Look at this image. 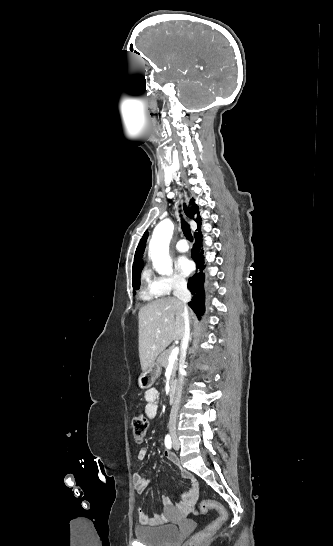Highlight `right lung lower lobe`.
<instances>
[{
	"instance_id": "obj_1",
	"label": "right lung lower lobe",
	"mask_w": 333,
	"mask_h": 546,
	"mask_svg": "<svg viewBox=\"0 0 333 546\" xmlns=\"http://www.w3.org/2000/svg\"><path fill=\"white\" fill-rule=\"evenodd\" d=\"M195 241L194 247L192 249V259L196 262V266L198 269V272L188 280V289L190 290L191 294L193 295L191 301L188 303L189 306L193 309V311L196 313L198 318L205 312V292H204V274L203 269L205 267L204 265V257H203V250H201L202 247V235L201 231L197 232L195 234Z\"/></svg>"
}]
</instances>
